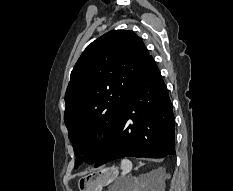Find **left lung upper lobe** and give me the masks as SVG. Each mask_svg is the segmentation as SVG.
Segmentation results:
<instances>
[{
    "label": "left lung upper lobe",
    "instance_id": "1",
    "mask_svg": "<svg viewBox=\"0 0 233 191\" xmlns=\"http://www.w3.org/2000/svg\"><path fill=\"white\" fill-rule=\"evenodd\" d=\"M149 52L131 30H112L93 41L76 62L65 94L64 113L68 137L75 154L96 162L106 143H94V134L103 129L113 133L119 111ZM82 162L80 155L75 168Z\"/></svg>",
    "mask_w": 233,
    "mask_h": 191
}]
</instances>
